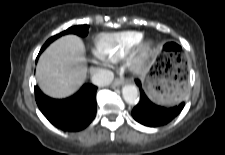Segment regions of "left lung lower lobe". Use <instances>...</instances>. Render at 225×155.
<instances>
[{"mask_svg": "<svg viewBox=\"0 0 225 155\" xmlns=\"http://www.w3.org/2000/svg\"><path fill=\"white\" fill-rule=\"evenodd\" d=\"M136 83L140 88V101L132 110V116L140 124L148 127L163 126L172 121L182 111L184 102L171 108L156 105L145 95L140 82L136 81Z\"/></svg>", "mask_w": 225, "mask_h": 155, "instance_id": "0a47b994", "label": "left lung lower lobe"}]
</instances>
